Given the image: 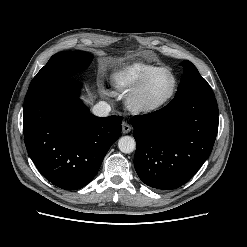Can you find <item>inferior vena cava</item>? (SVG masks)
<instances>
[{"label": "inferior vena cava", "instance_id": "602c4592", "mask_svg": "<svg viewBox=\"0 0 247 247\" xmlns=\"http://www.w3.org/2000/svg\"><path fill=\"white\" fill-rule=\"evenodd\" d=\"M111 111L110 105L105 101L98 102L92 109L94 115L98 117H106Z\"/></svg>", "mask_w": 247, "mask_h": 247}]
</instances>
